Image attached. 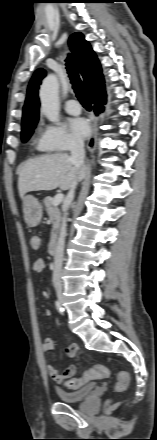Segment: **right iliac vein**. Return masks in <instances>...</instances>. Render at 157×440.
<instances>
[{"mask_svg": "<svg viewBox=\"0 0 157 440\" xmlns=\"http://www.w3.org/2000/svg\"><path fill=\"white\" fill-rule=\"evenodd\" d=\"M56 293H57V297H58L59 301L62 303L63 302V295H62L61 288H57Z\"/></svg>", "mask_w": 157, "mask_h": 440, "instance_id": "63e3f726", "label": "right iliac vein"}]
</instances>
